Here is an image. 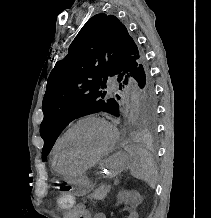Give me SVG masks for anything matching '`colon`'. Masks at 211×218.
Returning a JSON list of instances; mask_svg holds the SVG:
<instances>
[{"instance_id":"colon-1","label":"colon","mask_w":211,"mask_h":218,"mask_svg":"<svg viewBox=\"0 0 211 218\" xmlns=\"http://www.w3.org/2000/svg\"><path fill=\"white\" fill-rule=\"evenodd\" d=\"M57 203L63 209H73L76 206L75 197L68 189H61Z\"/></svg>"}]
</instances>
